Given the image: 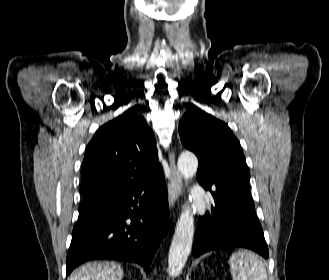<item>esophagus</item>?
Returning a JSON list of instances; mask_svg holds the SVG:
<instances>
[{"label": "esophagus", "instance_id": "esophagus-1", "mask_svg": "<svg viewBox=\"0 0 329 280\" xmlns=\"http://www.w3.org/2000/svg\"><path fill=\"white\" fill-rule=\"evenodd\" d=\"M169 163H170V179L168 183V199H169V206L173 207L176 201L178 200V198L182 194V178L176 167L174 151L170 152Z\"/></svg>", "mask_w": 329, "mask_h": 280}]
</instances>
